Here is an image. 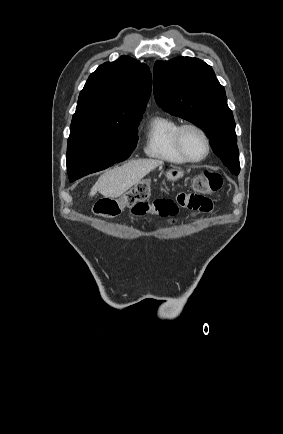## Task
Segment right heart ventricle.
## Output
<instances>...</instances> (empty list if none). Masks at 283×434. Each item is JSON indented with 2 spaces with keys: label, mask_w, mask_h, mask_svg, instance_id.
I'll list each match as a JSON object with an SVG mask.
<instances>
[{
  "label": "right heart ventricle",
  "mask_w": 283,
  "mask_h": 434,
  "mask_svg": "<svg viewBox=\"0 0 283 434\" xmlns=\"http://www.w3.org/2000/svg\"><path fill=\"white\" fill-rule=\"evenodd\" d=\"M179 125V121L169 116L156 115L152 117L146 130L145 154L167 163H186L175 146V132Z\"/></svg>",
  "instance_id": "right-heart-ventricle-1"
}]
</instances>
